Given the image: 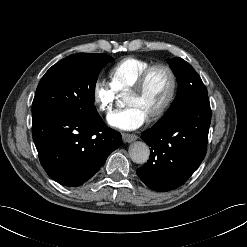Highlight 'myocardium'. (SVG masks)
<instances>
[{
    "label": "myocardium",
    "instance_id": "1",
    "mask_svg": "<svg viewBox=\"0 0 247 247\" xmlns=\"http://www.w3.org/2000/svg\"><path fill=\"white\" fill-rule=\"evenodd\" d=\"M157 69H163L164 71L167 72L170 78V88L166 99L159 107V109L148 117L150 120H156L161 116H163L175 98L177 91V77L174 70L166 64H153L141 73V75L139 76L133 87L129 90V93H134V94H138L142 92L146 86L148 78L150 77L152 72Z\"/></svg>",
    "mask_w": 247,
    "mask_h": 247
}]
</instances>
